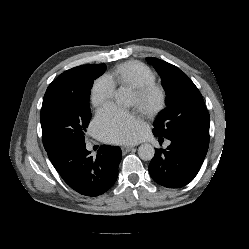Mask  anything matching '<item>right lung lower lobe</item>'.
I'll return each mask as SVG.
<instances>
[{"label":"right lung lower lobe","mask_w":249,"mask_h":249,"mask_svg":"<svg viewBox=\"0 0 249 249\" xmlns=\"http://www.w3.org/2000/svg\"><path fill=\"white\" fill-rule=\"evenodd\" d=\"M47 153L63 180L86 196L101 195L113 186L122 158L118 147L108 145H102L93 158L85 143L60 145Z\"/></svg>","instance_id":"98d812e1"}]
</instances>
